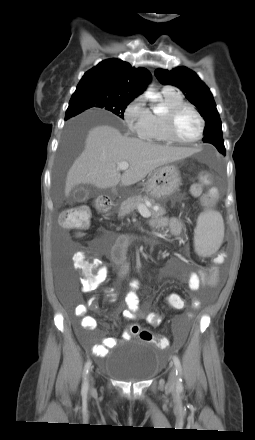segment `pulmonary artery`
Wrapping results in <instances>:
<instances>
[{
    "label": "pulmonary artery",
    "instance_id": "1",
    "mask_svg": "<svg viewBox=\"0 0 255 440\" xmlns=\"http://www.w3.org/2000/svg\"><path fill=\"white\" fill-rule=\"evenodd\" d=\"M169 88V86H165L163 89H168Z\"/></svg>",
    "mask_w": 255,
    "mask_h": 440
}]
</instances>
